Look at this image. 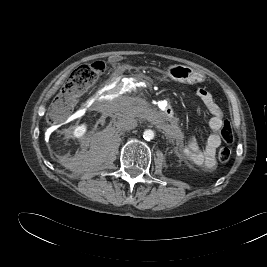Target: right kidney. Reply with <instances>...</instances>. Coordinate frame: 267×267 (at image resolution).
Returning a JSON list of instances; mask_svg holds the SVG:
<instances>
[{
  "mask_svg": "<svg viewBox=\"0 0 267 267\" xmlns=\"http://www.w3.org/2000/svg\"><path fill=\"white\" fill-rule=\"evenodd\" d=\"M86 130H87V125L81 124L74 129L73 135L76 138H80L86 133Z\"/></svg>",
  "mask_w": 267,
  "mask_h": 267,
  "instance_id": "right-kidney-1",
  "label": "right kidney"
}]
</instances>
